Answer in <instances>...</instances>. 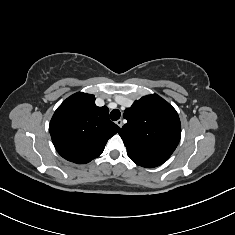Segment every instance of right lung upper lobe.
Instances as JSON below:
<instances>
[{
  "label": "right lung upper lobe",
  "instance_id": "cb5924a9",
  "mask_svg": "<svg viewBox=\"0 0 235 235\" xmlns=\"http://www.w3.org/2000/svg\"><path fill=\"white\" fill-rule=\"evenodd\" d=\"M106 106L95 105V97L78 92L55 111L49 126L57 152L66 160L84 164L97 158L109 138L120 128L109 119Z\"/></svg>",
  "mask_w": 235,
  "mask_h": 235
}]
</instances>
